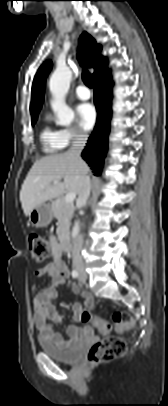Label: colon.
I'll list each match as a JSON object with an SVG mask.
<instances>
[{"instance_id":"colon-1","label":"colon","mask_w":168,"mask_h":406,"mask_svg":"<svg viewBox=\"0 0 168 406\" xmlns=\"http://www.w3.org/2000/svg\"><path fill=\"white\" fill-rule=\"evenodd\" d=\"M28 245L31 259L35 263L45 261L53 252L52 243L39 234H31L28 238ZM82 319L90 321L91 315L84 312ZM95 325L97 330L106 337L91 346L87 354V363L100 364L124 355L127 348L125 339L120 335H110L109 333L113 329L120 334L132 329L134 325L132 316L127 312H116L110 319H97Z\"/></svg>"}]
</instances>
